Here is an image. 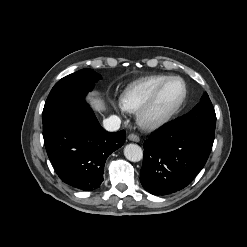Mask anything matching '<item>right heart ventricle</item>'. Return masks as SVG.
<instances>
[{
  "mask_svg": "<svg viewBox=\"0 0 247 247\" xmlns=\"http://www.w3.org/2000/svg\"><path fill=\"white\" fill-rule=\"evenodd\" d=\"M168 77L166 75H152L129 84L120 97L122 109L128 112L138 111L156 87Z\"/></svg>",
  "mask_w": 247,
  "mask_h": 247,
  "instance_id": "right-heart-ventricle-1",
  "label": "right heart ventricle"
}]
</instances>
